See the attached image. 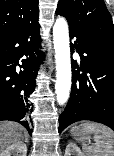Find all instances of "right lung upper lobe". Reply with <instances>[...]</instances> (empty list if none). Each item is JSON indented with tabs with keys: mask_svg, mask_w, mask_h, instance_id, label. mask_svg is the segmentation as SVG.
Here are the masks:
<instances>
[{
	"mask_svg": "<svg viewBox=\"0 0 114 156\" xmlns=\"http://www.w3.org/2000/svg\"><path fill=\"white\" fill-rule=\"evenodd\" d=\"M38 0H0V38L38 20Z\"/></svg>",
	"mask_w": 114,
	"mask_h": 156,
	"instance_id": "right-lung-upper-lobe-1",
	"label": "right lung upper lobe"
}]
</instances>
